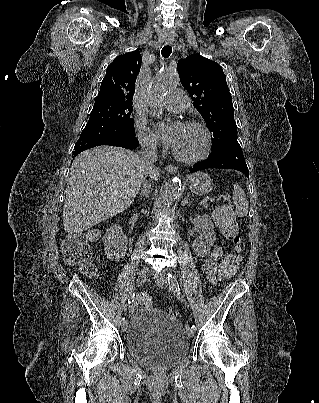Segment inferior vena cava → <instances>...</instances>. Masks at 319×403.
I'll return each mask as SVG.
<instances>
[{"mask_svg":"<svg viewBox=\"0 0 319 403\" xmlns=\"http://www.w3.org/2000/svg\"><path fill=\"white\" fill-rule=\"evenodd\" d=\"M141 150L139 157L142 164L148 169L149 173L154 170V163L157 161V145L154 140L142 138L140 139ZM147 184L144 180L143 185Z\"/></svg>","mask_w":319,"mask_h":403,"instance_id":"obj_1","label":"inferior vena cava"}]
</instances>
